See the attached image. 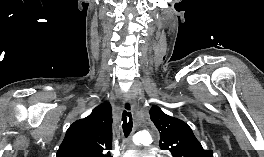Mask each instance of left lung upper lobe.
<instances>
[{
	"label": "left lung upper lobe",
	"instance_id": "1",
	"mask_svg": "<svg viewBox=\"0 0 264 157\" xmlns=\"http://www.w3.org/2000/svg\"><path fill=\"white\" fill-rule=\"evenodd\" d=\"M151 120L160 132V147L173 157H213L212 150H204L191 128L182 120L166 115L158 106L150 110Z\"/></svg>",
	"mask_w": 264,
	"mask_h": 157
}]
</instances>
